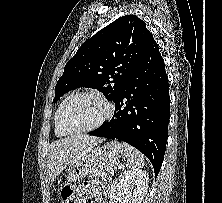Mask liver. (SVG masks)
<instances>
[{"label": "liver", "mask_w": 222, "mask_h": 203, "mask_svg": "<svg viewBox=\"0 0 222 203\" xmlns=\"http://www.w3.org/2000/svg\"><path fill=\"white\" fill-rule=\"evenodd\" d=\"M103 140L89 135H77L53 142L48 151V174L51 183L73 160Z\"/></svg>", "instance_id": "1"}]
</instances>
